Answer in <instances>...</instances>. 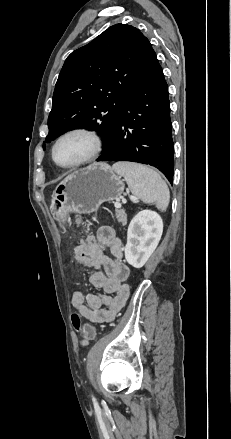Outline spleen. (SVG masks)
I'll use <instances>...</instances> for the list:
<instances>
[{"label": "spleen", "mask_w": 231, "mask_h": 439, "mask_svg": "<svg viewBox=\"0 0 231 439\" xmlns=\"http://www.w3.org/2000/svg\"><path fill=\"white\" fill-rule=\"evenodd\" d=\"M113 170L123 176L131 192L142 202L156 204L165 211L170 200L167 184L155 170L136 163L119 162Z\"/></svg>", "instance_id": "3e777b00"}]
</instances>
